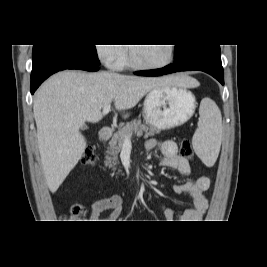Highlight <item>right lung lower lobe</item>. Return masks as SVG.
<instances>
[{
  "label": "right lung lower lobe",
  "mask_w": 267,
  "mask_h": 267,
  "mask_svg": "<svg viewBox=\"0 0 267 267\" xmlns=\"http://www.w3.org/2000/svg\"><path fill=\"white\" fill-rule=\"evenodd\" d=\"M32 56L31 94H34L45 79L58 71L79 69L94 72L99 70L97 63L66 45H34Z\"/></svg>",
  "instance_id": "obj_1"
}]
</instances>
